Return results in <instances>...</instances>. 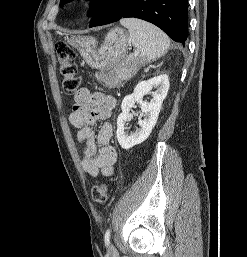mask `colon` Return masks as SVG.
Masks as SVG:
<instances>
[{
    "instance_id": "colon-1",
    "label": "colon",
    "mask_w": 247,
    "mask_h": 257,
    "mask_svg": "<svg viewBox=\"0 0 247 257\" xmlns=\"http://www.w3.org/2000/svg\"><path fill=\"white\" fill-rule=\"evenodd\" d=\"M56 52L62 89L66 95H73L82 83L81 77L77 75V65L74 62L75 51L67 44H58L56 45ZM108 192L107 184L99 183L92 187L91 196L95 202L105 203Z\"/></svg>"
}]
</instances>
